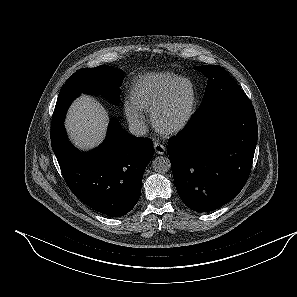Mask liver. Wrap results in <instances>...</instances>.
Returning a JSON list of instances; mask_svg holds the SVG:
<instances>
[{
  "instance_id": "1",
  "label": "liver",
  "mask_w": 297,
  "mask_h": 297,
  "mask_svg": "<svg viewBox=\"0 0 297 297\" xmlns=\"http://www.w3.org/2000/svg\"><path fill=\"white\" fill-rule=\"evenodd\" d=\"M108 114L94 98L82 95L70 107L65 126L70 140L80 149H91L104 139Z\"/></svg>"
}]
</instances>
